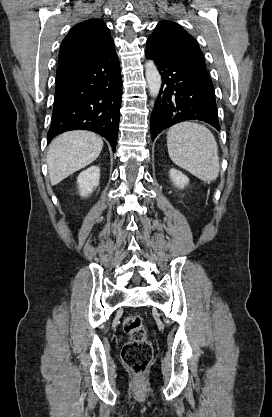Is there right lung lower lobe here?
<instances>
[{
  "instance_id": "1",
  "label": "right lung lower lobe",
  "mask_w": 272,
  "mask_h": 417,
  "mask_svg": "<svg viewBox=\"0 0 272 417\" xmlns=\"http://www.w3.org/2000/svg\"><path fill=\"white\" fill-rule=\"evenodd\" d=\"M121 95L114 42L90 61L59 65L48 143L60 133L82 129L102 135L115 151Z\"/></svg>"
}]
</instances>
